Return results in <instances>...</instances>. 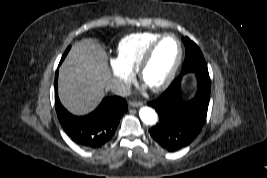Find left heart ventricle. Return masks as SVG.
I'll list each match as a JSON object with an SVG mask.
<instances>
[{
  "label": "left heart ventricle",
  "instance_id": "1",
  "mask_svg": "<svg viewBox=\"0 0 267 178\" xmlns=\"http://www.w3.org/2000/svg\"><path fill=\"white\" fill-rule=\"evenodd\" d=\"M178 56V44L171 37L165 38L156 48L147 65L143 82L148 87L160 84L169 74Z\"/></svg>",
  "mask_w": 267,
  "mask_h": 178
}]
</instances>
